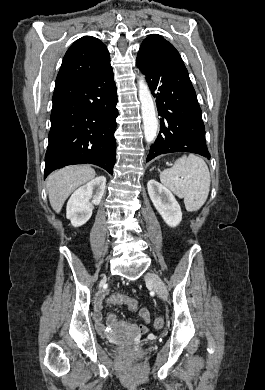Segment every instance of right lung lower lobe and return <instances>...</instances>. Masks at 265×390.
Returning <instances> with one entry per match:
<instances>
[{
	"instance_id": "1",
	"label": "right lung lower lobe",
	"mask_w": 265,
	"mask_h": 390,
	"mask_svg": "<svg viewBox=\"0 0 265 390\" xmlns=\"http://www.w3.org/2000/svg\"><path fill=\"white\" fill-rule=\"evenodd\" d=\"M116 104L110 64L82 80L54 89L45 178L55 169L85 163L113 174Z\"/></svg>"
}]
</instances>
